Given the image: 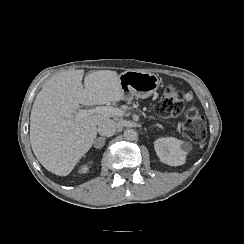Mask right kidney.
I'll return each instance as SVG.
<instances>
[{"instance_id":"ca27d5eb","label":"right kidney","mask_w":244,"mask_h":244,"mask_svg":"<svg viewBox=\"0 0 244 244\" xmlns=\"http://www.w3.org/2000/svg\"><path fill=\"white\" fill-rule=\"evenodd\" d=\"M88 166H85L84 168H83V171H81V172H85V171H87L88 170Z\"/></svg>"}]
</instances>
